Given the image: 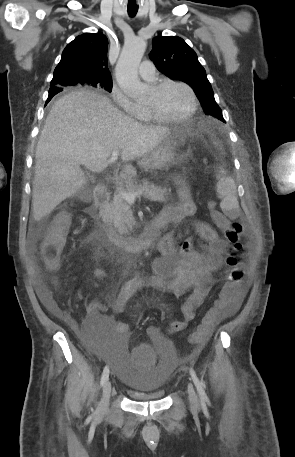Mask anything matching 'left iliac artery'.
<instances>
[{"label": "left iliac artery", "instance_id": "left-iliac-artery-1", "mask_svg": "<svg viewBox=\"0 0 295 457\" xmlns=\"http://www.w3.org/2000/svg\"><path fill=\"white\" fill-rule=\"evenodd\" d=\"M190 375H191L192 380H193V382H194V384H195V386H196V389H197V391H198V394H199V396H200V399H201L202 401H208V397H207V395H206V393H205V390H204V388H203V384H202V382L198 379V377H197L195 371H194L192 368L190 369Z\"/></svg>", "mask_w": 295, "mask_h": 457}]
</instances>
